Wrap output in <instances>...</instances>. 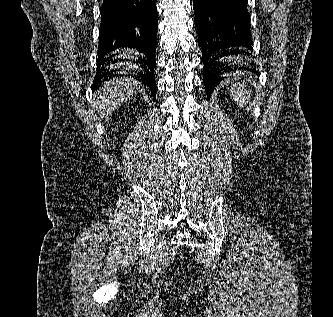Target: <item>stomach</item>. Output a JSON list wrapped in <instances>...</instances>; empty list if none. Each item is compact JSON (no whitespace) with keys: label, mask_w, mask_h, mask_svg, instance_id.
<instances>
[{"label":"stomach","mask_w":333,"mask_h":317,"mask_svg":"<svg viewBox=\"0 0 333 317\" xmlns=\"http://www.w3.org/2000/svg\"><path fill=\"white\" fill-rule=\"evenodd\" d=\"M220 62H241V55H220Z\"/></svg>","instance_id":"0dacf381"}]
</instances>
